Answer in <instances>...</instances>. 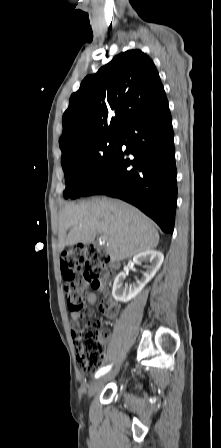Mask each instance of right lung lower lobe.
<instances>
[{
	"label": "right lung lower lobe",
	"mask_w": 221,
	"mask_h": 448,
	"mask_svg": "<svg viewBox=\"0 0 221 448\" xmlns=\"http://www.w3.org/2000/svg\"><path fill=\"white\" fill-rule=\"evenodd\" d=\"M176 175L172 118L165 96L124 125L111 159L82 196L105 194L125 200L163 232L173 233Z\"/></svg>",
	"instance_id": "right-lung-lower-lobe-1"
}]
</instances>
